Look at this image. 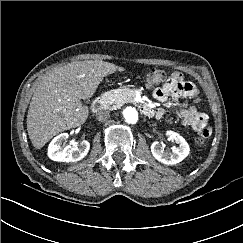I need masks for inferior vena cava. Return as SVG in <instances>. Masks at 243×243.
<instances>
[{
  "mask_svg": "<svg viewBox=\"0 0 243 243\" xmlns=\"http://www.w3.org/2000/svg\"><path fill=\"white\" fill-rule=\"evenodd\" d=\"M98 121H106L110 118V112L107 109H100L95 114Z\"/></svg>",
  "mask_w": 243,
  "mask_h": 243,
  "instance_id": "1",
  "label": "inferior vena cava"
}]
</instances>
